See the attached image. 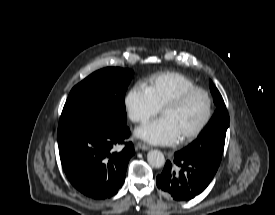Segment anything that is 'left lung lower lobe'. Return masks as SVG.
I'll return each instance as SVG.
<instances>
[{"label": "left lung lower lobe", "mask_w": 275, "mask_h": 215, "mask_svg": "<svg viewBox=\"0 0 275 215\" xmlns=\"http://www.w3.org/2000/svg\"><path fill=\"white\" fill-rule=\"evenodd\" d=\"M218 167L212 162L178 151L157 176V187L170 199L188 201L206 189Z\"/></svg>", "instance_id": "1"}]
</instances>
